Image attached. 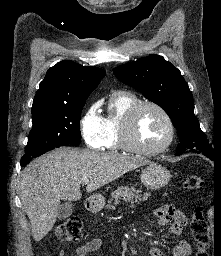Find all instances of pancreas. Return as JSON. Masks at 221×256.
<instances>
[{"instance_id": "obj_1", "label": "pancreas", "mask_w": 221, "mask_h": 256, "mask_svg": "<svg viewBox=\"0 0 221 256\" xmlns=\"http://www.w3.org/2000/svg\"><path fill=\"white\" fill-rule=\"evenodd\" d=\"M150 193H143L140 190H136L131 187H119L114 193L111 194L112 199L107 206L109 209H114L116 205L120 203V200L124 202H130L131 204H139L141 201H146L150 196ZM114 200L113 204L112 201Z\"/></svg>"}]
</instances>
